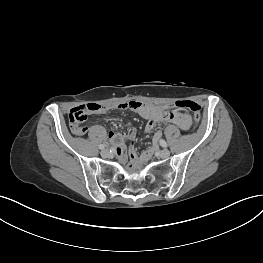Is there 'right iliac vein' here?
Wrapping results in <instances>:
<instances>
[{
  "label": "right iliac vein",
  "instance_id": "right-iliac-vein-1",
  "mask_svg": "<svg viewBox=\"0 0 263 263\" xmlns=\"http://www.w3.org/2000/svg\"><path fill=\"white\" fill-rule=\"evenodd\" d=\"M101 155L103 157H108L109 156V151L107 149H104V150L101 151Z\"/></svg>",
  "mask_w": 263,
  "mask_h": 263
}]
</instances>
